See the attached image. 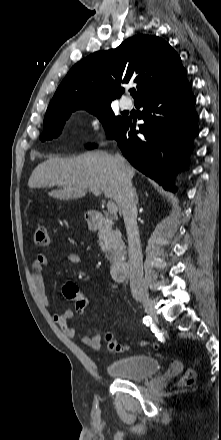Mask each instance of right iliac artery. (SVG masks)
Segmentation results:
<instances>
[{
    "mask_svg": "<svg viewBox=\"0 0 221 440\" xmlns=\"http://www.w3.org/2000/svg\"><path fill=\"white\" fill-rule=\"evenodd\" d=\"M152 319L149 316H145L143 318V323L148 325L149 323H151Z\"/></svg>",
    "mask_w": 221,
    "mask_h": 440,
    "instance_id": "1",
    "label": "right iliac artery"
}]
</instances>
